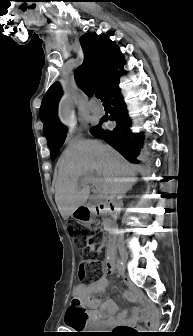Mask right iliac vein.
<instances>
[{"label":"right iliac vein","instance_id":"right-iliac-vein-1","mask_svg":"<svg viewBox=\"0 0 193 336\" xmlns=\"http://www.w3.org/2000/svg\"><path fill=\"white\" fill-rule=\"evenodd\" d=\"M121 262H122V267L120 268L121 272H124L125 270V267L128 263V257L127 255H123L122 258H121Z\"/></svg>","mask_w":193,"mask_h":336}]
</instances>
